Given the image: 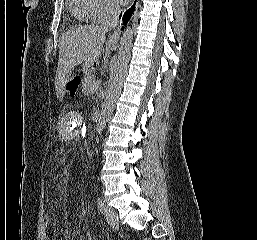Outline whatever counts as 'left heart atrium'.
Here are the masks:
<instances>
[{"label":"left heart atrium","instance_id":"39dd6f15","mask_svg":"<svg viewBox=\"0 0 257 240\" xmlns=\"http://www.w3.org/2000/svg\"><path fill=\"white\" fill-rule=\"evenodd\" d=\"M119 4L124 5L129 2V0H116Z\"/></svg>","mask_w":257,"mask_h":240}]
</instances>
